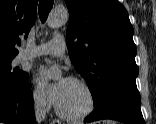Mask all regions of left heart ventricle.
I'll list each match as a JSON object with an SVG mask.
<instances>
[{"mask_svg": "<svg viewBox=\"0 0 156 124\" xmlns=\"http://www.w3.org/2000/svg\"><path fill=\"white\" fill-rule=\"evenodd\" d=\"M89 98L83 87L67 80L62 94L57 101L58 106L66 113L77 114L88 106Z\"/></svg>", "mask_w": 156, "mask_h": 124, "instance_id": "1", "label": "left heart ventricle"}]
</instances>
